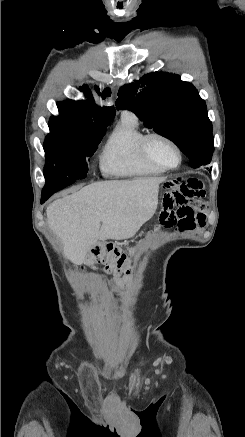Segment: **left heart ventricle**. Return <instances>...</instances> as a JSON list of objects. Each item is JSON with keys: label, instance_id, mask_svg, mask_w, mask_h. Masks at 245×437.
Instances as JSON below:
<instances>
[{"label": "left heart ventricle", "instance_id": "1", "mask_svg": "<svg viewBox=\"0 0 245 437\" xmlns=\"http://www.w3.org/2000/svg\"><path fill=\"white\" fill-rule=\"evenodd\" d=\"M149 150L155 159L165 165L174 166L178 162V154L176 150L162 140H152L149 144Z\"/></svg>", "mask_w": 245, "mask_h": 437}]
</instances>
